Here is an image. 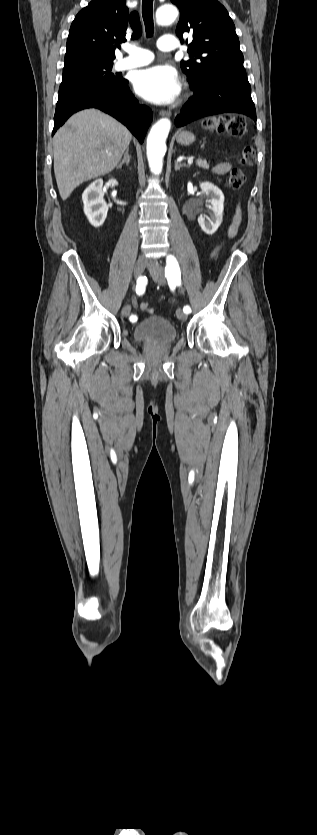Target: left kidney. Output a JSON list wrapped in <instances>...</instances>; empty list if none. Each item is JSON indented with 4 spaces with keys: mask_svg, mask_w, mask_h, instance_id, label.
<instances>
[{
    "mask_svg": "<svg viewBox=\"0 0 317 835\" xmlns=\"http://www.w3.org/2000/svg\"><path fill=\"white\" fill-rule=\"evenodd\" d=\"M200 188L207 196L206 207L209 212V217L207 218L205 215L200 214L198 223L206 234L212 235L223 220L224 195L217 186L210 182H202Z\"/></svg>",
    "mask_w": 317,
    "mask_h": 835,
    "instance_id": "left-kidney-1",
    "label": "left kidney"
}]
</instances>
